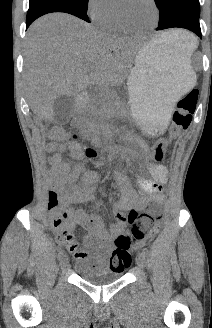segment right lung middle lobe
Returning a JSON list of instances; mask_svg holds the SVG:
<instances>
[{
    "label": "right lung middle lobe",
    "mask_w": 212,
    "mask_h": 328,
    "mask_svg": "<svg viewBox=\"0 0 212 328\" xmlns=\"http://www.w3.org/2000/svg\"><path fill=\"white\" fill-rule=\"evenodd\" d=\"M71 1L77 3L85 8L88 6V0H71Z\"/></svg>",
    "instance_id": "1"
}]
</instances>
